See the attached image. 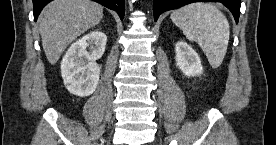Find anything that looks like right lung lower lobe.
<instances>
[{
    "label": "right lung lower lobe",
    "mask_w": 276,
    "mask_h": 145,
    "mask_svg": "<svg viewBox=\"0 0 276 145\" xmlns=\"http://www.w3.org/2000/svg\"><path fill=\"white\" fill-rule=\"evenodd\" d=\"M52 0H33L34 20L36 21L43 7ZM101 5L115 10L120 16L121 20L124 18L125 2L124 0H93Z\"/></svg>",
    "instance_id": "right-lung-lower-lobe-1"
}]
</instances>
